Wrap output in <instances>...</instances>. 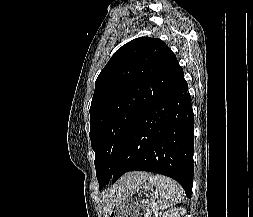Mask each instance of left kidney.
Listing matches in <instances>:
<instances>
[{
    "mask_svg": "<svg viewBox=\"0 0 253 217\" xmlns=\"http://www.w3.org/2000/svg\"><path fill=\"white\" fill-rule=\"evenodd\" d=\"M184 208H172L163 213L162 217H188Z\"/></svg>",
    "mask_w": 253,
    "mask_h": 217,
    "instance_id": "left-kidney-1",
    "label": "left kidney"
}]
</instances>
